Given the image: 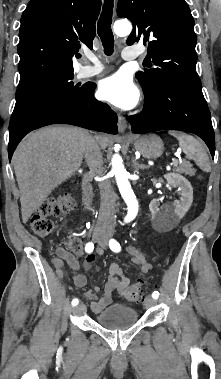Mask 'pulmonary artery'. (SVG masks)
I'll use <instances>...</instances> for the list:
<instances>
[{
	"label": "pulmonary artery",
	"instance_id": "pulmonary-artery-1",
	"mask_svg": "<svg viewBox=\"0 0 221 379\" xmlns=\"http://www.w3.org/2000/svg\"><path fill=\"white\" fill-rule=\"evenodd\" d=\"M140 55L139 51L133 48H125L122 52L124 60H134ZM87 59L92 63L88 66H83L79 71V76L90 77L101 73L104 69L98 58L92 54L87 55Z\"/></svg>",
	"mask_w": 221,
	"mask_h": 379
}]
</instances>
